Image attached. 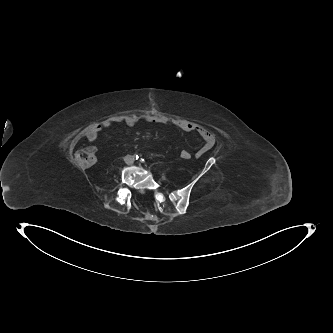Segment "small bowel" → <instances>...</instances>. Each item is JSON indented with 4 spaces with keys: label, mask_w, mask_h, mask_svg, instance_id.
Returning <instances> with one entry per match:
<instances>
[{
    "label": "small bowel",
    "mask_w": 333,
    "mask_h": 333,
    "mask_svg": "<svg viewBox=\"0 0 333 333\" xmlns=\"http://www.w3.org/2000/svg\"><path fill=\"white\" fill-rule=\"evenodd\" d=\"M148 122L152 123H158V124H165L167 123L166 120L159 117H152L147 116L144 118ZM140 121V118L136 115H132L129 117H126L124 120L120 119H106L102 121L101 123L96 124L95 126L91 127L85 134V137L88 141L93 142L95 141L99 134L104 130L112 127L115 123L124 122L127 126L133 127ZM174 125L177 126L179 129L186 131V132H196L203 140L202 147L196 152V157H201L205 153H207L215 144V136L205 127L202 125H199L197 123L184 120V119H178L175 120Z\"/></svg>",
    "instance_id": "c3829d8e"
}]
</instances>
